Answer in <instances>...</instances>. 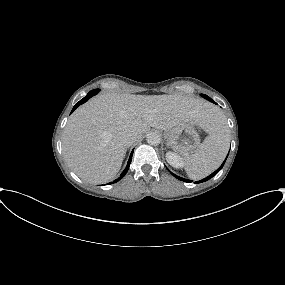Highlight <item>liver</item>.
I'll return each mask as SVG.
<instances>
[{
    "mask_svg": "<svg viewBox=\"0 0 285 285\" xmlns=\"http://www.w3.org/2000/svg\"><path fill=\"white\" fill-rule=\"evenodd\" d=\"M218 113L211 103L192 96L101 94L68 119L62 136L63 155L81 179L104 183L121 168L127 150L124 134L140 139L150 127L166 131L188 123L209 132Z\"/></svg>",
    "mask_w": 285,
    "mask_h": 285,
    "instance_id": "6515ba94",
    "label": "liver"
}]
</instances>
